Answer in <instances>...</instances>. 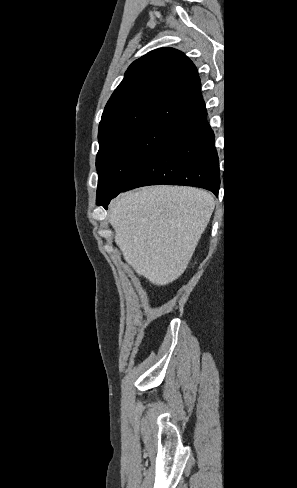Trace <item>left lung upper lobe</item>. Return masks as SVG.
Instances as JSON below:
<instances>
[{"label": "left lung upper lobe", "mask_w": 297, "mask_h": 488, "mask_svg": "<svg viewBox=\"0 0 297 488\" xmlns=\"http://www.w3.org/2000/svg\"><path fill=\"white\" fill-rule=\"evenodd\" d=\"M224 139H225V140H224V141H225L224 143H226V138H224ZM224 145H225V144H224ZM224 147H225V146H224ZM224 149H225V148H224Z\"/></svg>", "instance_id": "obj_1"}]
</instances>
